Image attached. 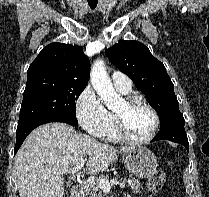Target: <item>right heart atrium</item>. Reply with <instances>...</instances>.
<instances>
[{
  "label": "right heart atrium",
  "mask_w": 209,
  "mask_h": 197,
  "mask_svg": "<svg viewBox=\"0 0 209 197\" xmlns=\"http://www.w3.org/2000/svg\"><path fill=\"white\" fill-rule=\"evenodd\" d=\"M76 115L84 130L95 137H103L110 126L111 114L90 86L76 100Z\"/></svg>",
  "instance_id": "d8ad5b80"
}]
</instances>
